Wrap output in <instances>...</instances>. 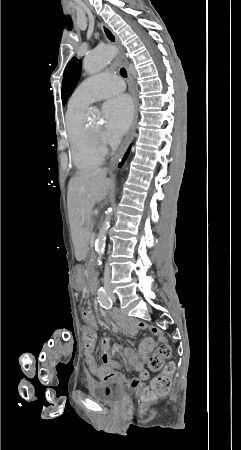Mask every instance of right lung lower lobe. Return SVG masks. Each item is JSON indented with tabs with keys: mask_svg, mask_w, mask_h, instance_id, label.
<instances>
[{
	"mask_svg": "<svg viewBox=\"0 0 241 450\" xmlns=\"http://www.w3.org/2000/svg\"><path fill=\"white\" fill-rule=\"evenodd\" d=\"M130 148H131V146L128 148V151L126 152L125 156L123 157L122 162L119 164V167L123 164V162L127 158V155L129 154Z\"/></svg>",
	"mask_w": 241,
	"mask_h": 450,
	"instance_id": "1",
	"label": "right lung lower lobe"
}]
</instances>
